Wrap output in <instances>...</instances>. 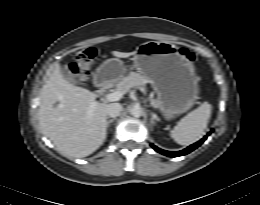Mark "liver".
Returning a JSON list of instances; mask_svg holds the SVG:
<instances>
[{
  "label": "liver",
  "mask_w": 260,
  "mask_h": 205,
  "mask_svg": "<svg viewBox=\"0 0 260 205\" xmlns=\"http://www.w3.org/2000/svg\"><path fill=\"white\" fill-rule=\"evenodd\" d=\"M117 58H127L136 52L112 51ZM93 92L66 80L59 64L41 90L39 122L43 134L57 150L66 156L86 157L96 151L106 139L107 104L95 101ZM96 102L92 111L90 106Z\"/></svg>",
  "instance_id": "6515ba94"
}]
</instances>
